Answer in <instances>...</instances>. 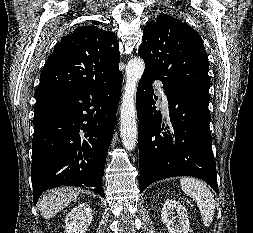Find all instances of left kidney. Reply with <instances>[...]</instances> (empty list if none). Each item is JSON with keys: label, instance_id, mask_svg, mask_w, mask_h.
Listing matches in <instances>:
<instances>
[{"label": "left kidney", "instance_id": "5707ae66", "mask_svg": "<svg viewBox=\"0 0 253 233\" xmlns=\"http://www.w3.org/2000/svg\"><path fill=\"white\" fill-rule=\"evenodd\" d=\"M175 213H177V215L173 216ZM161 221L166 225L169 233L189 232V217L187 210L174 199L164 202L161 212Z\"/></svg>", "mask_w": 253, "mask_h": 233}]
</instances>
